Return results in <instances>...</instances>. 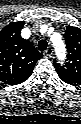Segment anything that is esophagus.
<instances>
[{"mask_svg":"<svg viewBox=\"0 0 81 124\" xmlns=\"http://www.w3.org/2000/svg\"><path fill=\"white\" fill-rule=\"evenodd\" d=\"M45 55H46L47 57H51V56L53 55V49H52V47H48V48L46 49Z\"/></svg>","mask_w":81,"mask_h":124,"instance_id":"esophagus-1","label":"esophagus"}]
</instances>
